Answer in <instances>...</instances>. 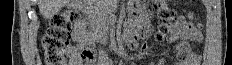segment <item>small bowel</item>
<instances>
[{
	"label": "small bowel",
	"mask_w": 232,
	"mask_h": 65,
	"mask_svg": "<svg viewBox=\"0 0 232 65\" xmlns=\"http://www.w3.org/2000/svg\"><path fill=\"white\" fill-rule=\"evenodd\" d=\"M134 15L136 17H144L146 21L151 18V12H136ZM137 31L138 33L134 34L135 38H148V34H151L150 26H137ZM72 37L76 45H70L66 49V54L69 57V65H82L80 50L92 44L94 37L92 34L87 33L86 24L84 22L75 24ZM186 40H191L195 44H200L203 40V36L199 26L189 22L184 17H179L168 37V42L175 43ZM125 47H137V40L134 39L131 42H125ZM199 63L200 55L197 52L191 51L189 48V50L183 54L178 49L175 65H199ZM98 65H109L108 57L103 51L99 53Z\"/></svg>",
	"instance_id": "small-bowel-1"
}]
</instances>
